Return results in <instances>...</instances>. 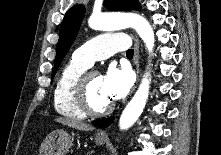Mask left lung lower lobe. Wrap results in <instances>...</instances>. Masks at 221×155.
<instances>
[{"label": "left lung lower lobe", "instance_id": "left-lung-lower-lobe-1", "mask_svg": "<svg viewBox=\"0 0 221 155\" xmlns=\"http://www.w3.org/2000/svg\"><path fill=\"white\" fill-rule=\"evenodd\" d=\"M113 120H114V118L111 117V118L95 120L92 123H93V125H95L99 128H106L112 123Z\"/></svg>", "mask_w": 221, "mask_h": 155}]
</instances>
